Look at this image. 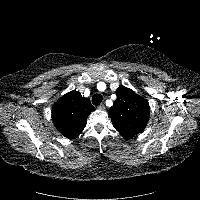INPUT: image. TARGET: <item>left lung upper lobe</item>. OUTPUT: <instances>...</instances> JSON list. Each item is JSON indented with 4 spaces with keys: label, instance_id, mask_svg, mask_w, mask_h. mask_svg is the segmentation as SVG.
<instances>
[{
    "label": "left lung upper lobe",
    "instance_id": "left-lung-upper-lobe-1",
    "mask_svg": "<svg viewBox=\"0 0 200 200\" xmlns=\"http://www.w3.org/2000/svg\"><path fill=\"white\" fill-rule=\"evenodd\" d=\"M116 95L109 116L115 129L124 138H131L145 129L150 114L149 104L125 86L119 87Z\"/></svg>",
    "mask_w": 200,
    "mask_h": 200
}]
</instances>
